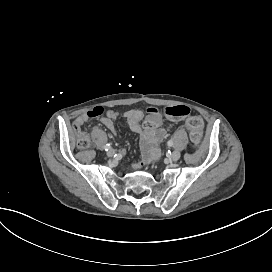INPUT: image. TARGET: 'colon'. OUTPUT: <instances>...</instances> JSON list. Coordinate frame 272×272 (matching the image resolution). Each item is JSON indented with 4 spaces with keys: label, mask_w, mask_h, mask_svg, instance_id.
<instances>
[{
    "label": "colon",
    "mask_w": 272,
    "mask_h": 272,
    "mask_svg": "<svg viewBox=\"0 0 272 272\" xmlns=\"http://www.w3.org/2000/svg\"><path fill=\"white\" fill-rule=\"evenodd\" d=\"M159 110L163 112L167 117L173 118V119H183L186 118L189 114V108L186 105L183 104H177V105H171V106H164L162 109L151 107L150 110H148V114L150 116H157L159 114ZM106 108L104 106L98 105L87 112V118L89 119H95L98 117H101L105 114ZM81 121H77L74 124V129L76 131H79L81 128ZM188 128L190 130V138L192 142L198 143L201 139V127H202V121L199 117H192L188 121ZM89 143V136L86 133H83L79 136V140L77 142L78 146L85 147Z\"/></svg>",
    "instance_id": "colon-1"
}]
</instances>
